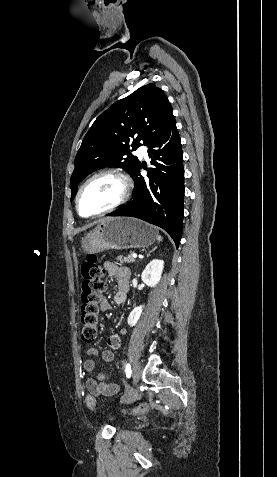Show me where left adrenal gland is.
I'll list each match as a JSON object with an SVG mask.
<instances>
[{"instance_id": "1", "label": "left adrenal gland", "mask_w": 277, "mask_h": 477, "mask_svg": "<svg viewBox=\"0 0 277 477\" xmlns=\"http://www.w3.org/2000/svg\"><path fill=\"white\" fill-rule=\"evenodd\" d=\"M157 249V247L153 248L151 251H149V253L147 254V257L150 256V254L155 251Z\"/></svg>"}]
</instances>
